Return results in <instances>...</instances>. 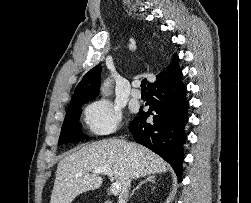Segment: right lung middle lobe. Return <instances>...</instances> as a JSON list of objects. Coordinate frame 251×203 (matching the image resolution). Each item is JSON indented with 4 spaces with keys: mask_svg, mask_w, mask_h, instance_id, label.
<instances>
[{
    "mask_svg": "<svg viewBox=\"0 0 251 203\" xmlns=\"http://www.w3.org/2000/svg\"><path fill=\"white\" fill-rule=\"evenodd\" d=\"M87 102L73 103L68 106L58 144L72 143L87 137L81 132V123L79 122L82 106Z\"/></svg>",
    "mask_w": 251,
    "mask_h": 203,
    "instance_id": "dd1d6c3e",
    "label": "right lung middle lobe"
}]
</instances>
